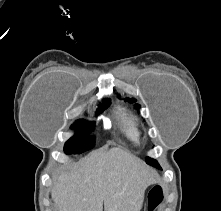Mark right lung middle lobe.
<instances>
[{"label":"right lung middle lobe","mask_w":221,"mask_h":211,"mask_svg":"<svg viewBox=\"0 0 221 211\" xmlns=\"http://www.w3.org/2000/svg\"><path fill=\"white\" fill-rule=\"evenodd\" d=\"M110 105V100L106 99L103 104L97 109V113H101ZM93 126L86 124L85 120H79L72 125V128L77 129V133L71 137L64 146L66 154H78L85 152L94 147V139L89 136V131Z\"/></svg>","instance_id":"dd1d6c3e"}]
</instances>
